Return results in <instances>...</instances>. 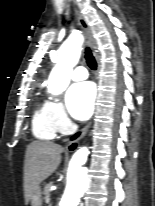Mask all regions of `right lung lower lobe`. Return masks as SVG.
I'll list each match as a JSON object with an SVG mask.
<instances>
[{
  "mask_svg": "<svg viewBox=\"0 0 155 206\" xmlns=\"http://www.w3.org/2000/svg\"><path fill=\"white\" fill-rule=\"evenodd\" d=\"M80 133H77L72 139H75L76 137L79 136Z\"/></svg>",
  "mask_w": 155,
  "mask_h": 206,
  "instance_id": "98d812e1",
  "label": "right lung lower lobe"
}]
</instances>
